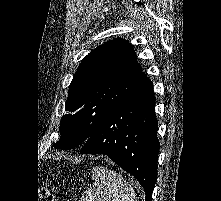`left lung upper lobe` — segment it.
<instances>
[{
  "label": "left lung upper lobe",
  "mask_w": 221,
  "mask_h": 201,
  "mask_svg": "<svg viewBox=\"0 0 221 201\" xmlns=\"http://www.w3.org/2000/svg\"><path fill=\"white\" fill-rule=\"evenodd\" d=\"M149 79L138 64L132 45L110 40L81 61L69 86L61 137L56 149L83 145L109 111Z\"/></svg>",
  "instance_id": "1"
}]
</instances>
